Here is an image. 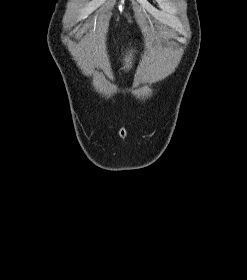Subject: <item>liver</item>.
<instances>
[{"label":"liver","instance_id":"obj_1","mask_svg":"<svg viewBox=\"0 0 247 280\" xmlns=\"http://www.w3.org/2000/svg\"><path fill=\"white\" fill-rule=\"evenodd\" d=\"M132 60H133V56H132V52H130L129 54L126 55L124 61H125V66L124 69L129 70L132 67Z\"/></svg>","mask_w":247,"mask_h":280}]
</instances>
